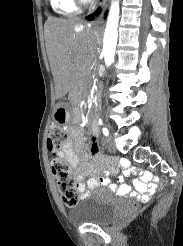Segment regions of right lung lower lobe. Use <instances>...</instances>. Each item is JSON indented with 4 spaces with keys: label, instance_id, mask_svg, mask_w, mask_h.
Listing matches in <instances>:
<instances>
[{
    "label": "right lung lower lobe",
    "instance_id": "right-lung-lower-lobe-1",
    "mask_svg": "<svg viewBox=\"0 0 183 246\" xmlns=\"http://www.w3.org/2000/svg\"><path fill=\"white\" fill-rule=\"evenodd\" d=\"M99 11H100V9H98V10L96 11V14H98V13H99Z\"/></svg>",
    "mask_w": 183,
    "mask_h": 246
}]
</instances>
